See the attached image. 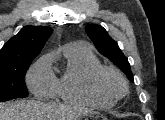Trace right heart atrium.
I'll return each mask as SVG.
<instances>
[{"mask_svg":"<svg viewBox=\"0 0 165 120\" xmlns=\"http://www.w3.org/2000/svg\"><path fill=\"white\" fill-rule=\"evenodd\" d=\"M27 84L32 93L38 97L52 96L55 77L51 71L48 56L41 57L29 70Z\"/></svg>","mask_w":165,"mask_h":120,"instance_id":"1","label":"right heart atrium"}]
</instances>
